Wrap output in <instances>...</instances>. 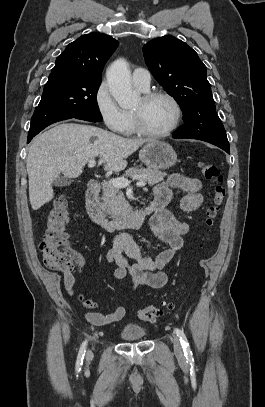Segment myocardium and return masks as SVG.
<instances>
[{"mask_svg": "<svg viewBox=\"0 0 265 407\" xmlns=\"http://www.w3.org/2000/svg\"><path fill=\"white\" fill-rule=\"evenodd\" d=\"M165 98L171 102L175 110V116L172 124L164 131L161 132H152L147 130L142 123L141 116L139 113L131 111L132 116V124L135 133L139 134L140 136L147 137V138H164L171 135L179 126L181 119H182V107L175 96L171 93L163 90H153L147 91L143 94L142 100L144 102H149L155 98Z\"/></svg>", "mask_w": 265, "mask_h": 407, "instance_id": "f54148a6", "label": "myocardium"}]
</instances>
